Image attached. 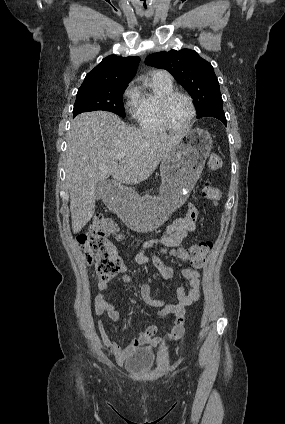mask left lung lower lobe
<instances>
[{"label":"left lung lower lobe","instance_id":"left-lung-lower-lobe-1","mask_svg":"<svg viewBox=\"0 0 285 424\" xmlns=\"http://www.w3.org/2000/svg\"><path fill=\"white\" fill-rule=\"evenodd\" d=\"M200 117H214V118L221 120L224 123L225 126L227 124L225 113L223 111L222 106L212 107L209 110H207L204 114H202Z\"/></svg>","mask_w":285,"mask_h":424}]
</instances>
